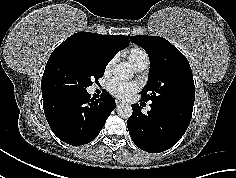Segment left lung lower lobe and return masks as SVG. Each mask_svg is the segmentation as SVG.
<instances>
[{
  "mask_svg": "<svg viewBox=\"0 0 236 178\" xmlns=\"http://www.w3.org/2000/svg\"><path fill=\"white\" fill-rule=\"evenodd\" d=\"M147 114L141 112L139 104L132 105L133 113L127 121L132 141L149 153L166 151L184 135L191 121L193 108L150 104Z\"/></svg>",
  "mask_w": 236,
  "mask_h": 178,
  "instance_id": "0a47b994",
  "label": "left lung lower lobe"
}]
</instances>
